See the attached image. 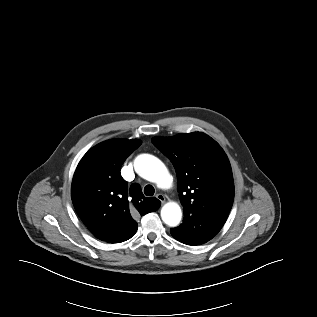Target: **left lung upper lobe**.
<instances>
[{
	"mask_svg": "<svg viewBox=\"0 0 317 317\" xmlns=\"http://www.w3.org/2000/svg\"><path fill=\"white\" fill-rule=\"evenodd\" d=\"M152 142L174 165L184 207L182 224L195 217L226 220L234 200V183L219 144L201 132L154 137Z\"/></svg>",
	"mask_w": 317,
	"mask_h": 317,
	"instance_id": "left-lung-upper-lobe-1",
	"label": "left lung upper lobe"
}]
</instances>
